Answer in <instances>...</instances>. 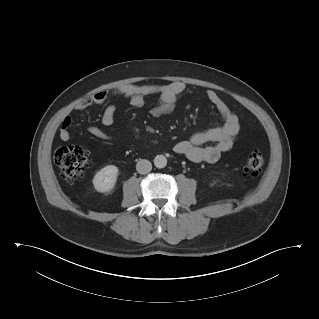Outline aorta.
I'll use <instances>...</instances> for the list:
<instances>
[{"label":"aorta","mask_w":319,"mask_h":319,"mask_svg":"<svg viewBox=\"0 0 319 319\" xmlns=\"http://www.w3.org/2000/svg\"><path fill=\"white\" fill-rule=\"evenodd\" d=\"M154 165L157 168H164L167 165V159L164 155H157L154 158Z\"/></svg>","instance_id":"1"}]
</instances>
